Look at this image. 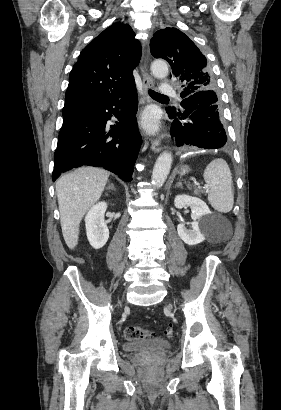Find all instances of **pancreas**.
Returning <instances> with one entry per match:
<instances>
[{"mask_svg": "<svg viewBox=\"0 0 281 410\" xmlns=\"http://www.w3.org/2000/svg\"><path fill=\"white\" fill-rule=\"evenodd\" d=\"M204 191L201 188H194V194L195 195H200L201 193H203Z\"/></svg>", "mask_w": 281, "mask_h": 410, "instance_id": "pancreas-1", "label": "pancreas"}]
</instances>
